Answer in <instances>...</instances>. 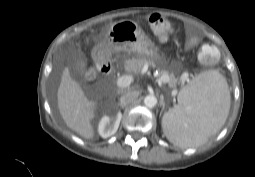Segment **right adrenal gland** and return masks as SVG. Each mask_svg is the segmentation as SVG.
<instances>
[{
  "mask_svg": "<svg viewBox=\"0 0 255 177\" xmlns=\"http://www.w3.org/2000/svg\"><path fill=\"white\" fill-rule=\"evenodd\" d=\"M120 104H118V106H119ZM122 109H124V107H121Z\"/></svg>",
  "mask_w": 255,
  "mask_h": 177,
  "instance_id": "obj_1",
  "label": "right adrenal gland"
}]
</instances>
